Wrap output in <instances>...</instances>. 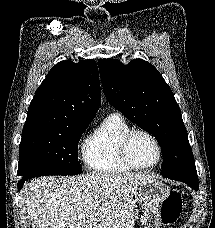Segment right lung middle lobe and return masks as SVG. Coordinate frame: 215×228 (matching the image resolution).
<instances>
[{
  "mask_svg": "<svg viewBox=\"0 0 215 228\" xmlns=\"http://www.w3.org/2000/svg\"><path fill=\"white\" fill-rule=\"evenodd\" d=\"M90 122L45 126L22 132L17 175L28 180L43 175H77L80 136Z\"/></svg>",
  "mask_w": 215,
  "mask_h": 228,
  "instance_id": "obj_1",
  "label": "right lung middle lobe"
}]
</instances>
